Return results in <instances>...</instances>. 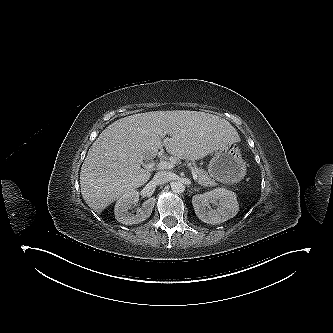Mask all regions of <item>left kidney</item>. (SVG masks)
I'll use <instances>...</instances> for the list:
<instances>
[{
    "instance_id": "left-kidney-1",
    "label": "left kidney",
    "mask_w": 333,
    "mask_h": 333,
    "mask_svg": "<svg viewBox=\"0 0 333 333\" xmlns=\"http://www.w3.org/2000/svg\"><path fill=\"white\" fill-rule=\"evenodd\" d=\"M218 201L217 209L209 208V204ZM192 204L197 217L208 224H220L236 216L239 204L236 194L224 188H216L203 194L192 197Z\"/></svg>"
}]
</instances>
